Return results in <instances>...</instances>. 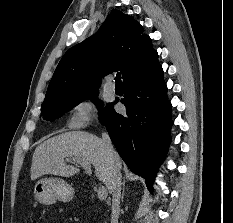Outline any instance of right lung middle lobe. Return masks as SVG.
<instances>
[{"label": "right lung middle lobe", "instance_id": "dd1d6c3e", "mask_svg": "<svg viewBox=\"0 0 233 223\" xmlns=\"http://www.w3.org/2000/svg\"><path fill=\"white\" fill-rule=\"evenodd\" d=\"M98 89H90L77 94L68 96L58 102L43 105L41 107V113L44 120L54 121L55 119L64 115L67 111H70L75 105L79 104L86 98H93L92 101L96 102L99 112L102 110L101 102L96 97Z\"/></svg>", "mask_w": 233, "mask_h": 223}]
</instances>
